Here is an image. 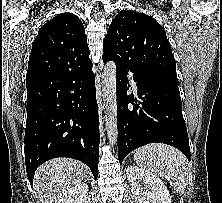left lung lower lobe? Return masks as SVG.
<instances>
[{
	"label": "left lung lower lobe",
	"instance_id": "left-lung-lower-lobe-1",
	"mask_svg": "<svg viewBox=\"0 0 222 203\" xmlns=\"http://www.w3.org/2000/svg\"><path fill=\"white\" fill-rule=\"evenodd\" d=\"M111 59L103 57L106 63ZM118 159L143 145L159 142L182 151L190 161V146L182 115L178 79L160 73H138L116 65ZM128 71L134 74L139 102L130 87Z\"/></svg>",
	"mask_w": 222,
	"mask_h": 203
}]
</instances>
